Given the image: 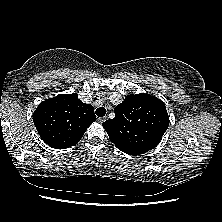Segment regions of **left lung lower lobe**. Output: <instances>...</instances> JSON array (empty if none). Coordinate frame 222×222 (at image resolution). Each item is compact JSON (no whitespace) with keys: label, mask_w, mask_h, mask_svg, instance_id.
Returning <instances> with one entry per match:
<instances>
[{"label":"left lung lower lobe","mask_w":222,"mask_h":222,"mask_svg":"<svg viewBox=\"0 0 222 222\" xmlns=\"http://www.w3.org/2000/svg\"><path fill=\"white\" fill-rule=\"evenodd\" d=\"M121 151H123L124 153H127L129 155H140V154H144L147 151L144 149H121Z\"/></svg>","instance_id":"left-lung-lower-lobe-1"}]
</instances>
